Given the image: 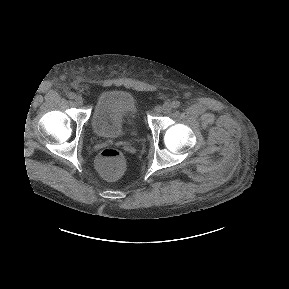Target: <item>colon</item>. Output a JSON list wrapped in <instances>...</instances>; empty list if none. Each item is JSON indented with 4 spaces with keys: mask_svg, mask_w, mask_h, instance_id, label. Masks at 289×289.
<instances>
[{
    "mask_svg": "<svg viewBox=\"0 0 289 289\" xmlns=\"http://www.w3.org/2000/svg\"><path fill=\"white\" fill-rule=\"evenodd\" d=\"M126 160L123 153L116 148H105L97 157L96 167L98 171L108 179L120 177L125 169Z\"/></svg>",
    "mask_w": 289,
    "mask_h": 289,
    "instance_id": "1",
    "label": "colon"
}]
</instances>
